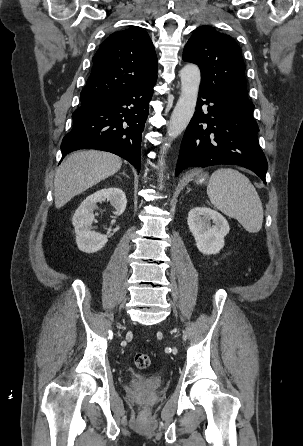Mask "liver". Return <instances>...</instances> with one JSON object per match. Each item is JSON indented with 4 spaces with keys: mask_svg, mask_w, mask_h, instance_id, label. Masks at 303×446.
Wrapping results in <instances>:
<instances>
[{
    "mask_svg": "<svg viewBox=\"0 0 303 446\" xmlns=\"http://www.w3.org/2000/svg\"><path fill=\"white\" fill-rule=\"evenodd\" d=\"M121 166V158L108 152L87 150L70 154L55 174V207H63L74 196L115 174Z\"/></svg>",
    "mask_w": 303,
    "mask_h": 446,
    "instance_id": "liver-1",
    "label": "liver"
}]
</instances>
